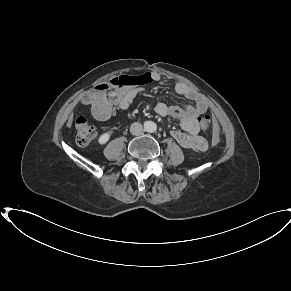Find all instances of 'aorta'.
<instances>
[{
  "label": "aorta",
  "instance_id": "1",
  "mask_svg": "<svg viewBox=\"0 0 291 291\" xmlns=\"http://www.w3.org/2000/svg\"><path fill=\"white\" fill-rule=\"evenodd\" d=\"M145 129L147 132H155L156 129H157V125L156 123L152 122V121H148L146 124H145Z\"/></svg>",
  "mask_w": 291,
  "mask_h": 291
}]
</instances>
